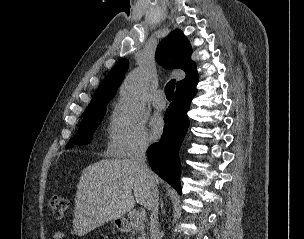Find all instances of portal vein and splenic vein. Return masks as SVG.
I'll use <instances>...</instances> for the list:
<instances>
[{"label": "portal vein and splenic vein", "instance_id": "1", "mask_svg": "<svg viewBox=\"0 0 304 239\" xmlns=\"http://www.w3.org/2000/svg\"><path fill=\"white\" fill-rule=\"evenodd\" d=\"M146 217V212L145 210H138L136 213H135V220L137 222L139 221H143Z\"/></svg>", "mask_w": 304, "mask_h": 239}]
</instances>
